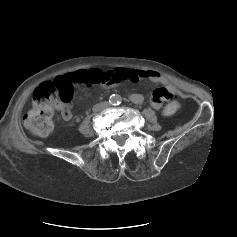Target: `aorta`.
<instances>
[{
  "mask_svg": "<svg viewBox=\"0 0 237 237\" xmlns=\"http://www.w3.org/2000/svg\"><path fill=\"white\" fill-rule=\"evenodd\" d=\"M120 101H121V98H120V96H118V95H112V96L110 97V102H111L113 105L119 104Z\"/></svg>",
  "mask_w": 237,
  "mask_h": 237,
  "instance_id": "obj_1",
  "label": "aorta"
}]
</instances>
